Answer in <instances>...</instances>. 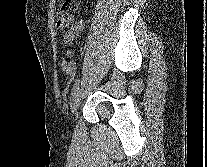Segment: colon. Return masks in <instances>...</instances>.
I'll return each mask as SVG.
<instances>
[{"label": "colon", "mask_w": 207, "mask_h": 167, "mask_svg": "<svg viewBox=\"0 0 207 167\" xmlns=\"http://www.w3.org/2000/svg\"><path fill=\"white\" fill-rule=\"evenodd\" d=\"M76 25L73 3L71 0H66L58 12V27L63 30L64 37L72 38Z\"/></svg>", "instance_id": "colon-1"}]
</instances>
